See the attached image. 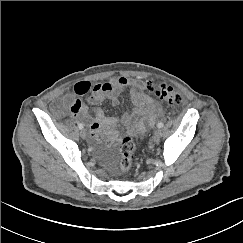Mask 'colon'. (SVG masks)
I'll return each mask as SVG.
<instances>
[{
	"instance_id": "1",
	"label": "colon",
	"mask_w": 243,
	"mask_h": 243,
	"mask_svg": "<svg viewBox=\"0 0 243 243\" xmlns=\"http://www.w3.org/2000/svg\"><path fill=\"white\" fill-rule=\"evenodd\" d=\"M147 90L165 101L171 106H179L182 104V96L172 86L166 83H153L147 85ZM135 149L133 140L129 137H124L120 143L121 159L119 168L121 172L128 173L132 167V155Z\"/></svg>"
}]
</instances>
